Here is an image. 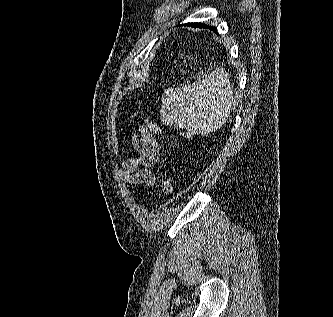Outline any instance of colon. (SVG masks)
Masks as SVG:
<instances>
[{"label":"colon","mask_w":333,"mask_h":317,"mask_svg":"<svg viewBox=\"0 0 333 317\" xmlns=\"http://www.w3.org/2000/svg\"><path fill=\"white\" fill-rule=\"evenodd\" d=\"M181 136L184 139H190L194 136V132L192 129L187 128L181 132ZM159 185H160L161 193L164 197H169L170 195H172V193L174 191V186H173L171 179L165 178V177L160 178Z\"/></svg>","instance_id":"1"}]
</instances>
